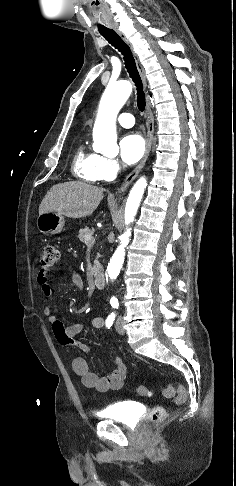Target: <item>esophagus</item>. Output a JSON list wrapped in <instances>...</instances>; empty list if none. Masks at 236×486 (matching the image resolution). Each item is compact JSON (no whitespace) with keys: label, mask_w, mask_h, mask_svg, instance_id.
Listing matches in <instances>:
<instances>
[{"label":"esophagus","mask_w":236,"mask_h":486,"mask_svg":"<svg viewBox=\"0 0 236 486\" xmlns=\"http://www.w3.org/2000/svg\"><path fill=\"white\" fill-rule=\"evenodd\" d=\"M113 29L121 37V39L129 46V48H130V50L133 54V57L135 59L136 66H137V69L139 71V74L141 76L144 89H146L147 80H146L145 72H144L142 65L139 62L138 56L135 53L132 44L130 43V41L126 38V36L117 27H114ZM146 114H147V135H146L145 154H144L143 158L141 159L140 163L135 167V169L131 173H129L127 175V177L124 179L123 183L121 184V186L117 190L116 194L124 192L127 189V187L134 181V179L138 176L139 172L141 171V169L145 165V162H146V160L149 156V153L151 151L152 142H153V134H154V119H153V115L151 113L150 103H149L148 99H147V102H146Z\"/></svg>","instance_id":"34e87169"}]
</instances>
